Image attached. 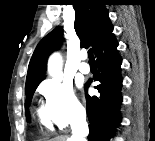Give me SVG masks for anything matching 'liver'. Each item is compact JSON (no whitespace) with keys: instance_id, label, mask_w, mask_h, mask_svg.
<instances>
[{"instance_id":"6515ba94","label":"liver","mask_w":155,"mask_h":141,"mask_svg":"<svg viewBox=\"0 0 155 141\" xmlns=\"http://www.w3.org/2000/svg\"><path fill=\"white\" fill-rule=\"evenodd\" d=\"M50 141H70V140L65 136H59V137L51 139Z\"/></svg>"}]
</instances>
